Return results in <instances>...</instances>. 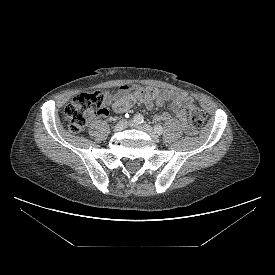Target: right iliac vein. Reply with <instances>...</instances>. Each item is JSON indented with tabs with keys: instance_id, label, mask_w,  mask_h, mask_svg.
Wrapping results in <instances>:
<instances>
[{
	"instance_id": "obj_1",
	"label": "right iliac vein",
	"mask_w": 275,
	"mask_h": 275,
	"mask_svg": "<svg viewBox=\"0 0 275 275\" xmlns=\"http://www.w3.org/2000/svg\"><path fill=\"white\" fill-rule=\"evenodd\" d=\"M127 126H128V121L126 119H122L116 124L114 131L120 132L124 130Z\"/></svg>"
}]
</instances>
